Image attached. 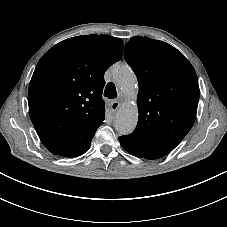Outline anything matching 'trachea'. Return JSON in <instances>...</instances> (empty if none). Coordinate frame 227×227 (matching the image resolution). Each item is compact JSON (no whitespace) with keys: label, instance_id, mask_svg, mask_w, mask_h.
<instances>
[{"label":"trachea","instance_id":"trachea-1","mask_svg":"<svg viewBox=\"0 0 227 227\" xmlns=\"http://www.w3.org/2000/svg\"><path fill=\"white\" fill-rule=\"evenodd\" d=\"M104 96L109 99H114L117 97L116 88L113 82H109L105 87Z\"/></svg>","mask_w":227,"mask_h":227}]
</instances>
